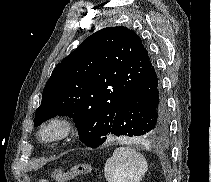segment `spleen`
Here are the masks:
<instances>
[{"instance_id":"spleen-1","label":"spleen","mask_w":211,"mask_h":182,"mask_svg":"<svg viewBox=\"0 0 211 182\" xmlns=\"http://www.w3.org/2000/svg\"><path fill=\"white\" fill-rule=\"evenodd\" d=\"M147 170L142 154L129 147H118L107 159L104 175L108 182H140Z\"/></svg>"}]
</instances>
